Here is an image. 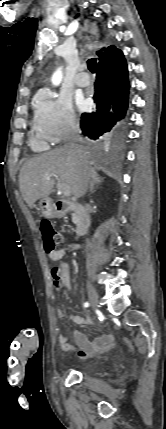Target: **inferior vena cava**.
Instances as JSON below:
<instances>
[{
    "label": "inferior vena cava",
    "instance_id": "obj_1",
    "mask_svg": "<svg viewBox=\"0 0 166 429\" xmlns=\"http://www.w3.org/2000/svg\"><path fill=\"white\" fill-rule=\"evenodd\" d=\"M79 142H81L79 124H78V122L73 121L70 125L68 132H67V135L65 138L64 148L75 153L76 156L79 157L80 159H83L85 152H84V148L79 144ZM91 179H93V178L90 174V170L88 167H86L85 168V176H84V180H83V186H82V193L83 194H85L87 192V188H88V185H89Z\"/></svg>",
    "mask_w": 166,
    "mask_h": 429
}]
</instances>
